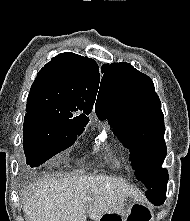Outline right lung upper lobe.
Returning a JSON list of instances; mask_svg holds the SVG:
<instances>
[{
  "label": "right lung upper lobe",
  "instance_id": "1",
  "mask_svg": "<svg viewBox=\"0 0 190 221\" xmlns=\"http://www.w3.org/2000/svg\"><path fill=\"white\" fill-rule=\"evenodd\" d=\"M98 87L99 68L93 59L61 53L37 74L26 111L88 118L86 115L92 111Z\"/></svg>",
  "mask_w": 190,
  "mask_h": 221
}]
</instances>
